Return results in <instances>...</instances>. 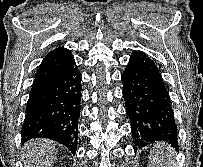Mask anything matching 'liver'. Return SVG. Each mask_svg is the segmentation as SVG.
I'll return each mask as SVG.
<instances>
[{"label":"liver","mask_w":203,"mask_h":167,"mask_svg":"<svg viewBox=\"0 0 203 167\" xmlns=\"http://www.w3.org/2000/svg\"><path fill=\"white\" fill-rule=\"evenodd\" d=\"M57 159L55 144L46 139H34L23 147L24 167H52Z\"/></svg>","instance_id":"obj_1"}]
</instances>
